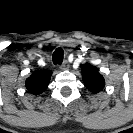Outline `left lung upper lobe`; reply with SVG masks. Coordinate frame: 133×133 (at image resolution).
<instances>
[{
  "label": "left lung upper lobe",
  "mask_w": 133,
  "mask_h": 133,
  "mask_svg": "<svg viewBox=\"0 0 133 133\" xmlns=\"http://www.w3.org/2000/svg\"><path fill=\"white\" fill-rule=\"evenodd\" d=\"M82 78L85 86L93 93H98L103 90L105 80L98 72L97 67L86 63L81 65Z\"/></svg>",
  "instance_id": "obj_1"
}]
</instances>
